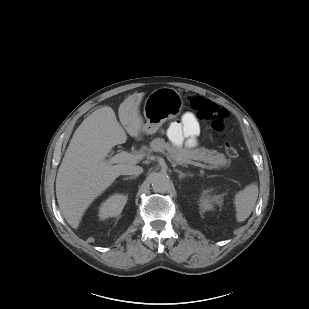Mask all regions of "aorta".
<instances>
[{
    "label": "aorta",
    "mask_w": 309,
    "mask_h": 309,
    "mask_svg": "<svg viewBox=\"0 0 309 309\" xmlns=\"http://www.w3.org/2000/svg\"><path fill=\"white\" fill-rule=\"evenodd\" d=\"M151 182L152 188L155 192H166L170 187V179L166 174H154Z\"/></svg>",
    "instance_id": "obj_1"
}]
</instances>
